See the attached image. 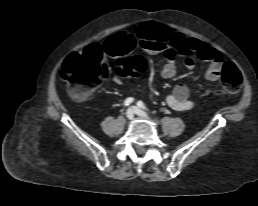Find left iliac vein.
<instances>
[{
    "label": "left iliac vein",
    "instance_id": "obj_1",
    "mask_svg": "<svg viewBox=\"0 0 258 206\" xmlns=\"http://www.w3.org/2000/svg\"><path fill=\"white\" fill-rule=\"evenodd\" d=\"M133 109H134V112H135L136 115H138L142 118H148V115L143 110H141L140 108L133 107Z\"/></svg>",
    "mask_w": 258,
    "mask_h": 206
}]
</instances>
